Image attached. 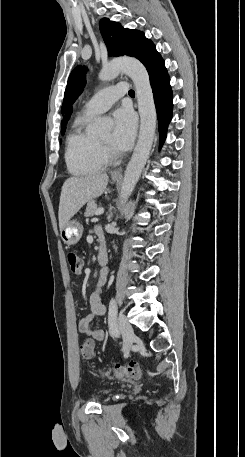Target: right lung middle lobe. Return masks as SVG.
Instances as JSON below:
<instances>
[{"instance_id":"obj_1","label":"right lung middle lobe","mask_w":245,"mask_h":457,"mask_svg":"<svg viewBox=\"0 0 245 457\" xmlns=\"http://www.w3.org/2000/svg\"><path fill=\"white\" fill-rule=\"evenodd\" d=\"M64 132H65V129L61 131V134H64Z\"/></svg>"}]
</instances>
